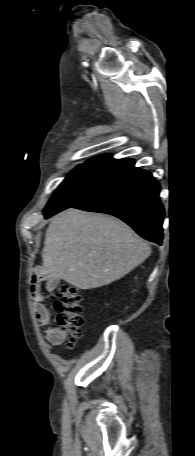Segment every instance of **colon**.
I'll return each instance as SVG.
<instances>
[{
    "label": "colon",
    "mask_w": 195,
    "mask_h": 456,
    "mask_svg": "<svg viewBox=\"0 0 195 456\" xmlns=\"http://www.w3.org/2000/svg\"><path fill=\"white\" fill-rule=\"evenodd\" d=\"M58 312L57 323L60 329L68 332V346L74 345L80 336L83 325L82 297L79 290L71 285H61L55 302Z\"/></svg>",
    "instance_id": "colon-1"
}]
</instances>
